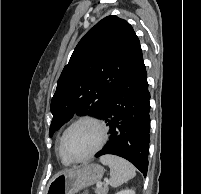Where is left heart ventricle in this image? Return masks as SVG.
Wrapping results in <instances>:
<instances>
[{
    "instance_id": "b2bd125f",
    "label": "left heart ventricle",
    "mask_w": 201,
    "mask_h": 194,
    "mask_svg": "<svg viewBox=\"0 0 201 194\" xmlns=\"http://www.w3.org/2000/svg\"><path fill=\"white\" fill-rule=\"evenodd\" d=\"M100 132L92 123H80L66 135L63 143L64 153L71 158H80L90 153L99 143Z\"/></svg>"
}]
</instances>
